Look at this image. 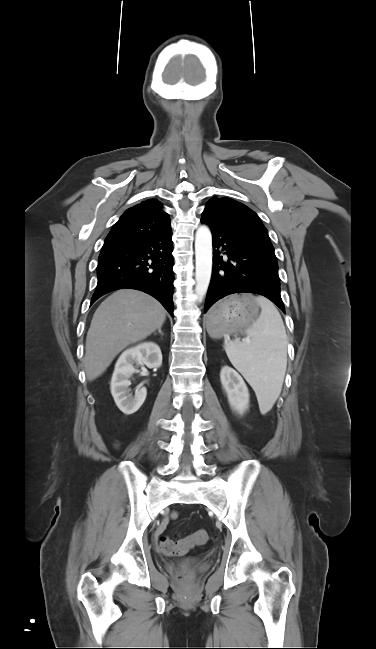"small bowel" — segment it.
Returning a JSON list of instances; mask_svg holds the SVG:
<instances>
[{"instance_id":"1","label":"small bowel","mask_w":376,"mask_h":649,"mask_svg":"<svg viewBox=\"0 0 376 649\" xmlns=\"http://www.w3.org/2000/svg\"><path fill=\"white\" fill-rule=\"evenodd\" d=\"M173 517H176V513H173Z\"/></svg>"}]
</instances>
